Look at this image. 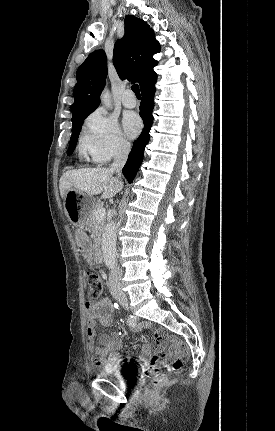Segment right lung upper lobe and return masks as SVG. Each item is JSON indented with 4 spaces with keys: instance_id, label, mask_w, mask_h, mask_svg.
Wrapping results in <instances>:
<instances>
[{
    "instance_id": "cb5924a9",
    "label": "right lung upper lobe",
    "mask_w": 275,
    "mask_h": 431,
    "mask_svg": "<svg viewBox=\"0 0 275 431\" xmlns=\"http://www.w3.org/2000/svg\"><path fill=\"white\" fill-rule=\"evenodd\" d=\"M160 44L150 26L132 15L125 17V34L114 45L113 60L120 79L138 82L141 91L157 80L153 55ZM107 76L106 55L102 50L91 53L76 73L72 104V126L92 113L100 104V94Z\"/></svg>"
}]
</instances>
